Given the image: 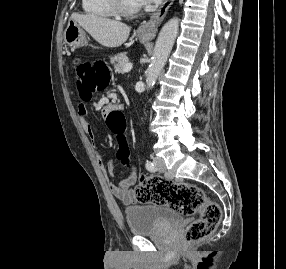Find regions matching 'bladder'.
Wrapping results in <instances>:
<instances>
[{"mask_svg": "<svg viewBox=\"0 0 286 269\" xmlns=\"http://www.w3.org/2000/svg\"><path fill=\"white\" fill-rule=\"evenodd\" d=\"M125 218L132 234L146 235L179 223L182 215L166 206L144 204L127 207Z\"/></svg>", "mask_w": 286, "mask_h": 269, "instance_id": "bladder-1", "label": "bladder"}]
</instances>
